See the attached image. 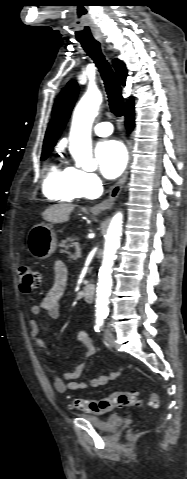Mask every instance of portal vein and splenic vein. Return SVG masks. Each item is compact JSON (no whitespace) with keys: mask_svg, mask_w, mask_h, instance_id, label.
Here are the masks:
<instances>
[{"mask_svg":"<svg viewBox=\"0 0 187 479\" xmlns=\"http://www.w3.org/2000/svg\"><path fill=\"white\" fill-rule=\"evenodd\" d=\"M75 248H76V252H75V256L77 258L81 257V248L79 245H75Z\"/></svg>","mask_w":187,"mask_h":479,"instance_id":"1","label":"portal vein and splenic vein"}]
</instances>
